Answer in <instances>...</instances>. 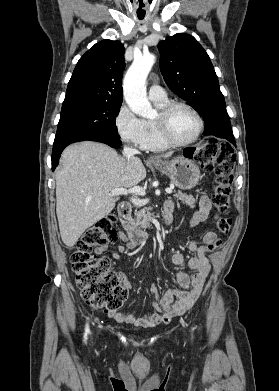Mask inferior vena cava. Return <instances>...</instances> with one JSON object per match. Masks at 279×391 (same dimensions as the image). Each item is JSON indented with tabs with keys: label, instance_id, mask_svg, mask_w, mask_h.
Instances as JSON below:
<instances>
[{
	"label": "inferior vena cava",
	"instance_id": "inferior-vena-cava-1",
	"mask_svg": "<svg viewBox=\"0 0 279 391\" xmlns=\"http://www.w3.org/2000/svg\"><path fill=\"white\" fill-rule=\"evenodd\" d=\"M123 153L127 157L128 160L134 158L135 155L140 154V152L137 149L130 148V147H124ZM131 201H132V203L138 205V200L137 199L132 198Z\"/></svg>",
	"mask_w": 279,
	"mask_h": 391
}]
</instances>
